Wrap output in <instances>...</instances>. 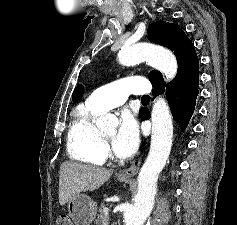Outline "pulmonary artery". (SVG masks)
<instances>
[{
	"instance_id": "obj_1",
	"label": "pulmonary artery",
	"mask_w": 237,
	"mask_h": 225,
	"mask_svg": "<svg viewBox=\"0 0 237 225\" xmlns=\"http://www.w3.org/2000/svg\"><path fill=\"white\" fill-rule=\"evenodd\" d=\"M150 87L143 77H126L94 90L89 101L98 109L106 111L120 106L130 94H146Z\"/></svg>"
}]
</instances>
